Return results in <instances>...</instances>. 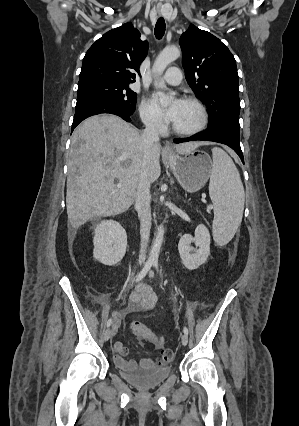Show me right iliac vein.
I'll list each match as a JSON object with an SVG mask.
<instances>
[{
  "mask_svg": "<svg viewBox=\"0 0 299 426\" xmlns=\"http://www.w3.org/2000/svg\"><path fill=\"white\" fill-rule=\"evenodd\" d=\"M112 336V331L110 328L106 329V331L104 332V340L108 341Z\"/></svg>",
  "mask_w": 299,
  "mask_h": 426,
  "instance_id": "right-iliac-vein-1",
  "label": "right iliac vein"
}]
</instances>
